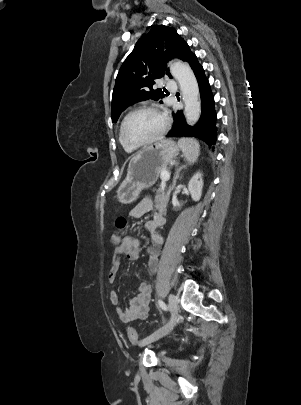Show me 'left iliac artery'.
I'll return each instance as SVG.
<instances>
[{
    "mask_svg": "<svg viewBox=\"0 0 301 405\" xmlns=\"http://www.w3.org/2000/svg\"><path fill=\"white\" fill-rule=\"evenodd\" d=\"M158 304L163 310H167V307H166L165 303L162 300H158Z\"/></svg>",
    "mask_w": 301,
    "mask_h": 405,
    "instance_id": "1",
    "label": "left iliac artery"
}]
</instances>
